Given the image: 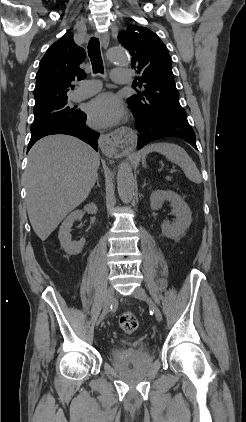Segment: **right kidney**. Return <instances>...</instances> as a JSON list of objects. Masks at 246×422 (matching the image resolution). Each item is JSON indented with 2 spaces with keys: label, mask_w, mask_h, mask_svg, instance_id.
I'll list each match as a JSON object with an SVG mask.
<instances>
[{
  "label": "right kidney",
  "mask_w": 246,
  "mask_h": 422,
  "mask_svg": "<svg viewBox=\"0 0 246 422\" xmlns=\"http://www.w3.org/2000/svg\"><path fill=\"white\" fill-rule=\"evenodd\" d=\"M84 211L91 214H96L98 211V208L95 203H90L84 207ZM82 216H83L82 211L76 210L72 212L61 224L58 237L61 243V247L69 255L79 254L85 244L84 238L80 239V241L78 242H73L71 240V227L73 226V223L76 220L82 219Z\"/></svg>",
  "instance_id": "ca27d5eb"
}]
</instances>
